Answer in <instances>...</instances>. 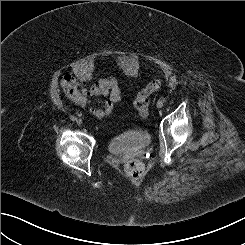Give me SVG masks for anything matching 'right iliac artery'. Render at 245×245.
Returning <instances> with one entry per match:
<instances>
[{"mask_svg": "<svg viewBox=\"0 0 245 245\" xmlns=\"http://www.w3.org/2000/svg\"><path fill=\"white\" fill-rule=\"evenodd\" d=\"M71 120H72V121H76L77 118H76L75 116H72V117H71Z\"/></svg>", "mask_w": 245, "mask_h": 245, "instance_id": "82829eb1", "label": "right iliac artery"}]
</instances>
